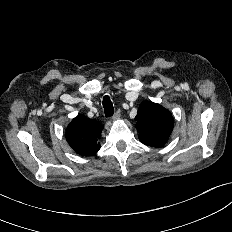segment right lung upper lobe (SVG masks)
I'll list each match as a JSON object with an SVG mask.
<instances>
[{"instance_id":"right-lung-upper-lobe-1","label":"right lung upper lobe","mask_w":232,"mask_h":232,"mask_svg":"<svg viewBox=\"0 0 232 232\" xmlns=\"http://www.w3.org/2000/svg\"><path fill=\"white\" fill-rule=\"evenodd\" d=\"M103 128L97 120L78 115L66 128V140L77 154L91 156L100 149L98 138Z\"/></svg>"}]
</instances>
